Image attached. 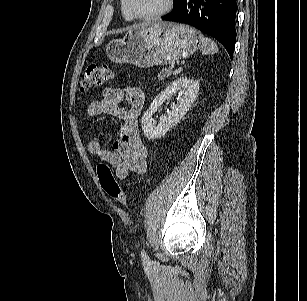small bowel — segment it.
<instances>
[{"label": "small bowel", "instance_id": "obj_1", "mask_svg": "<svg viewBox=\"0 0 307 301\" xmlns=\"http://www.w3.org/2000/svg\"><path fill=\"white\" fill-rule=\"evenodd\" d=\"M123 101L128 103L127 109L121 108ZM144 101L145 96L140 88L109 87L103 91L101 99L93 100L88 106L90 117L106 114L121 122L120 136L114 142L112 150L103 148L97 139L88 142L89 153L113 168L119 180H125L130 175L144 174L147 170L148 152L139 137L137 125Z\"/></svg>", "mask_w": 307, "mask_h": 301}]
</instances>
